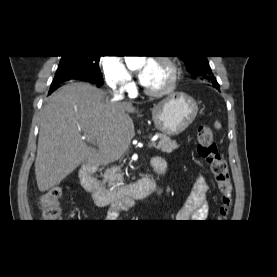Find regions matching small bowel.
Listing matches in <instances>:
<instances>
[{
    "label": "small bowel",
    "instance_id": "obj_1",
    "mask_svg": "<svg viewBox=\"0 0 277 277\" xmlns=\"http://www.w3.org/2000/svg\"><path fill=\"white\" fill-rule=\"evenodd\" d=\"M161 158V157H160ZM164 161V160H163ZM165 164V171L159 168L155 157L152 159L151 165L153 170L158 175H164L167 170V165ZM209 190V185L203 177H198L194 183L193 189L188 196L185 204L181 210L177 213L176 218L178 220H203L208 214V202H207V192ZM117 216L116 211L110 213V218Z\"/></svg>",
    "mask_w": 277,
    "mask_h": 277
}]
</instances>
